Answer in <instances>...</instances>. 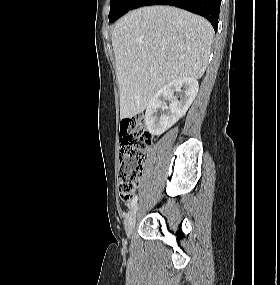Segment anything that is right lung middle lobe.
<instances>
[{
    "instance_id": "dd1d6c3e",
    "label": "right lung middle lobe",
    "mask_w": 280,
    "mask_h": 285,
    "mask_svg": "<svg viewBox=\"0 0 280 285\" xmlns=\"http://www.w3.org/2000/svg\"><path fill=\"white\" fill-rule=\"evenodd\" d=\"M137 0H111L109 22H114L131 10Z\"/></svg>"
}]
</instances>
